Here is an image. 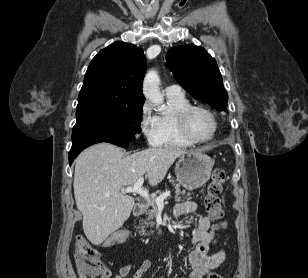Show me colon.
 Here are the masks:
<instances>
[{
	"mask_svg": "<svg viewBox=\"0 0 308 278\" xmlns=\"http://www.w3.org/2000/svg\"><path fill=\"white\" fill-rule=\"evenodd\" d=\"M226 173L222 169H215L204 198V206L213 220L217 221V228L224 229L225 222L221 221L223 209L221 195L226 182ZM128 230H118L109 240L104 242L106 247L124 242L128 237ZM75 261L80 278H99L102 271L100 253L84 236H77L75 243ZM208 278H222L218 273H212Z\"/></svg>",
	"mask_w": 308,
	"mask_h": 278,
	"instance_id": "obj_1",
	"label": "colon"
}]
</instances>
